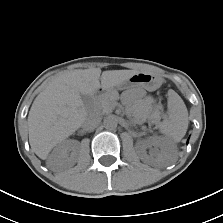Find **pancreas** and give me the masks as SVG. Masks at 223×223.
Masks as SVG:
<instances>
[{
	"label": "pancreas",
	"mask_w": 223,
	"mask_h": 223,
	"mask_svg": "<svg viewBox=\"0 0 223 223\" xmlns=\"http://www.w3.org/2000/svg\"><path fill=\"white\" fill-rule=\"evenodd\" d=\"M119 94L116 90L106 92L96 98L93 102L92 109L97 113H110L116 106Z\"/></svg>",
	"instance_id": "obj_1"
}]
</instances>
